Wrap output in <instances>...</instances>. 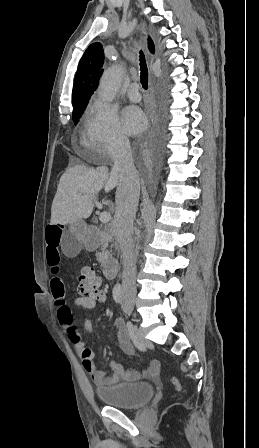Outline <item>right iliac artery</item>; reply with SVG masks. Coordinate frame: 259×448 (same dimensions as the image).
<instances>
[{
	"instance_id": "obj_1",
	"label": "right iliac artery",
	"mask_w": 259,
	"mask_h": 448,
	"mask_svg": "<svg viewBox=\"0 0 259 448\" xmlns=\"http://www.w3.org/2000/svg\"><path fill=\"white\" fill-rule=\"evenodd\" d=\"M113 298L116 303H120L122 300V289L119 284L115 285L113 288Z\"/></svg>"
}]
</instances>
